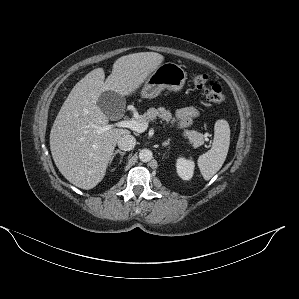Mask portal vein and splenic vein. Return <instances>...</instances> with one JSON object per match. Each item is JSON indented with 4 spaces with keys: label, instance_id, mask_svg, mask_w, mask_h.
Returning a JSON list of instances; mask_svg holds the SVG:
<instances>
[{
    "label": "portal vein and splenic vein",
    "instance_id": "18ae733b",
    "mask_svg": "<svg viewBox=\"0 0 299 299\" xmlns=\"http://www.w3.org/2000/svg\"><path fill=\"white\" fill-rule=\"evenodd\" d=\"M122 127V128H129L135 132L142 133L148 128V123H140L136 120H122L117 122L114 125H107L104 127H100L98 133L105 132L113 127Z\"/></svg>",
    "mask_w": 299,
    "mask_h": 299
}]
</instances>
